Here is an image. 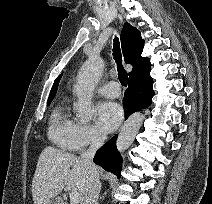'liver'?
Instances as JSON below:
<instances>
[{"instance_id":"obj_1","label":"liver","mask_w":212,"mask_h":204,"mask_svg":"<svg viewBox=\"0 0 212 204\" xmlns=\"http://www.w3.org/2000/svg\"><path fill=\"white\" fill-rule=\"evenodd\" d=\"M96 168L100 175L101 169ZM87 176L88 168L79 157L51 146L45 147L32 181L34 204H47L63 189L78 191L84 197Z\"/></svg>"}]
</instances>
